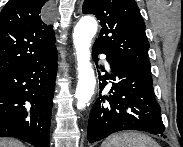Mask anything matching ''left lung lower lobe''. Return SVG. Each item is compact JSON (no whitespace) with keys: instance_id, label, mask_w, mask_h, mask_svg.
Wrapping results in <instances>:
<instances>
[{"instance_id":"1","label":"left lung lower lobe","mask_w":183,"mask_h":147,"mask_svg":"<svg viewBox=\"0 0 183 147\" xmlns=\"http://www.w3.org/2000/svg\"><path fill=\"white\" fill-rule=\"evenodd\" d=\"M104 53L110 64L111 74L99 77L100 97L93 105L88 124L87 138L90 143L122 130H139L154 135H162L165 127L161 119V109L157 103L151 73L121 59L107 55L93 46L95 61ZM104 71V68L102 69ZM113 81L108 96L101 92Z\"/></svg>"}]
</instances>
